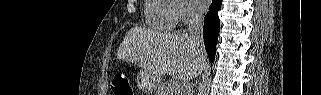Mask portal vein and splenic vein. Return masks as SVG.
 Wrapping results in <instances>:
<instances>
[{"mask_svg":"<svg viewBox=\"0 0 321 95\" xmlns=\"http://www.w3.org/2000/svg\"><path fill=\"white\" fill-rule=\"evenodd\" d=\"M170 85L172 88H179V82L177 80H171Z\"/></svg>","mask_w":321,"mask_h":95,"instance_id":"portal-vein-and-splenic-vein-1","label":"portal vein and splenic vein"}]
</instances>
